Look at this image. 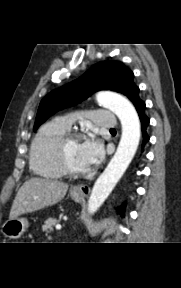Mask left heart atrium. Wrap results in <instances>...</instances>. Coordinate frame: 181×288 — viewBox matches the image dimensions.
Instances as JSON below:
<instances>
[{
  "label": "left heart atrium",
  "instance_id": "obj_1",
  "mask_svg": "<svg viewBox=\"0 0 181 288\" xmlns=\"http://www.w3.org/2000/svg\"><path fill=\"white\" fill-rule=\"evenodd\" d=\"M80 153L87 167L98 163L103 158V146L96 136H91L80 144Z\"/></svg>",
  "mask_w": 181,
  "mask_h": 288
}]
</instances>
